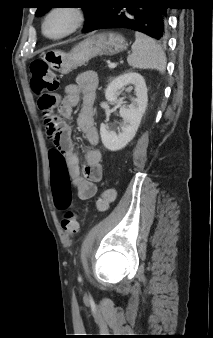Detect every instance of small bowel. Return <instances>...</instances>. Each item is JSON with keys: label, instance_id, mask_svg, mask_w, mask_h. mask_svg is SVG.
I'll return each mask as SVG.
<instances>
[{"label": "small bowel", "instance_id": "1", "mask_svg": "<svg viewBox=\"0 0 213 338\" xmlns=\"http://www.w3.org/2000/svg\"><path fill=\"white\" fill-rule=\"evenodd\" d=\"M98 77L92 71L81 73L75 84H69L64 89V95L58 106L62 119L56 122L62 139L59 145L49 151V161L52 173L67 174L74 184L80 200H88L97 192L96 184L101 181L103 169L101 154L98 150L89 148L84 153L82 171L79 164V151L72 140V129L68 121L73 118V110L82 98V106L77 117L78 129L83 133L89 145L95 146L99 141L98 130L93 121L92 104L96 96ZM47 133L53 137L49 127ZM62 150L65 153H62Z\"/></svg>", "mask_w": 213, "mask_h": 338}]
</instances>
